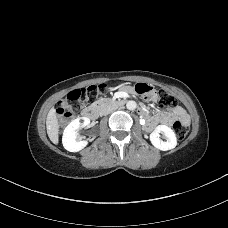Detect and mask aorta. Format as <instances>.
Segmentation results:
<instances>
[{
    "label": "aorta",
    "instance_id": "obj_1",
    "mask_svg": "<svg viewBox=\"0 0 228 228\" xmlns=\"http://www.w3.org/2000/svg\"><path fill=\"white\" fill-rule=\"evenodd\" d=\"M126 107L128 110H134L137 107V104L135 101H128Z\"/></svg>",
    "mask_w": 228,
    "mask_h": 228
}]
</instances>
